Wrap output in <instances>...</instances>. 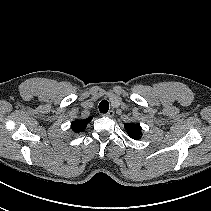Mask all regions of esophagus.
<instances>
[{"label": "esophagus", "instance_id": "1", "mask_svg": "<svg viewBox=\"0 0 211 211\" xmlns=\"http://www.w3.org/2000/svg\"><path fill=\"white\" fill-rule=\"evenodd\" d=\"M102 116L111 118L114 116V111L110 110L107 113L102 114Z\"/></svg>", "mask_w": 211, "mask_h": 211}]
</instances>
